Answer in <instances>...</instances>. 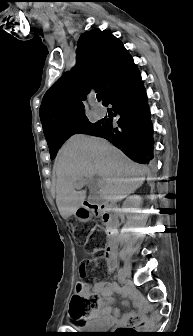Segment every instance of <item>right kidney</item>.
I'll return each mask as SVG.
<instances>
[{
    "mask_svg": "<svg viewBox=\"0 0 193 336\" xmlns=\"http://www.w3.org/2000/svg\"><path fill=\"white\" fill-rule=\"evenodd\" d=\"M141 204L142 198L139 195L130 196L124 202V206L127 208H139Z\"/></svg>",
    "mask_w": 193,
    "mask_h": 336,
    "instance_id": "1",
    "label": "right kidney"
}]
</instances>
